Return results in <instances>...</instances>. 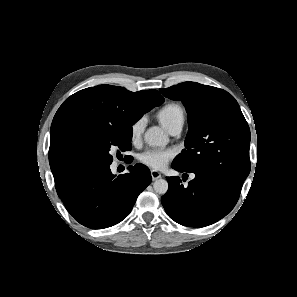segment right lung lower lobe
Segmentation results:
<instances>
[{"label":"right lung lower lobe","instance_id":"right-lung-lower-lobe-1","mask_svg":"<svg viewBox=\"0 0 297 297\" xmlns=\"http://www.w3.org/2000/svg\"><path fill=\"white\" fill-rule=\"evenodd\" d=\"M129 170L119 176L111 173L109 165L81 170L57 191L58 196L80 224L92 229L111 227L128 216L152 180L145 165Z\"/></svg>","mask_w":297,"mask_h":297}]
</instances>
